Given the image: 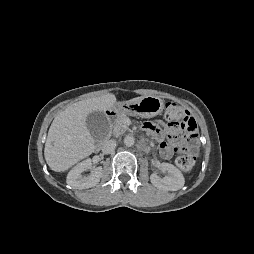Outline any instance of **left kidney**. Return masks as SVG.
I'll return each mask as SVG.
<instances>
[{"label": "left kidney", "instance_id": "1", "mask_svg": "<svg viewBox=\"0 0 254 254\" xmlns=\"http://www.w3.org/2000/svg\"><path fill=\"white\" fill-rule=\"evenodd\" d=\"M160 168L167 171L168 175L161 178L155 173L151 174L150 180L155 187L164 191H177L184 186L183 174L174 165L163 162Z\"/></svg>", "mask_w": 254, "mask_h": 254}]
</instances>
